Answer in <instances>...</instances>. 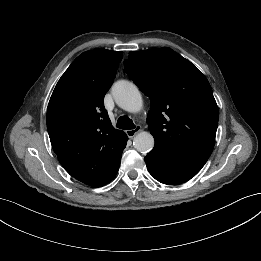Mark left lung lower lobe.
I'll return each mask as SVG.
<instances>
[{
    "instance_id": "left-lung-lower-lobe-1",
    "label": "left lung lower lobe",
    "mask_w": 261,
    "mask_h": 261,
    "mask_svg": "<svg viewBox=\"0 0 261 261\" xmlns=\"http://www.w3.org/2000/svg\"><path fill=\"white\" fill-rule=\"evenodd\" d=\"M144 160L150 174L157 181L168 185H178L190 180L207 161L177 157L155 148Z\"/></svg>"
}]
</instances>
